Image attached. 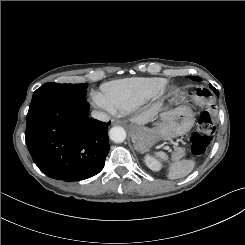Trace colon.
Returning a JSON list of instances; mask_svg holds the SVG:
<instances>
[{"label":"colon","instance_id":"1","mask_svg":"<svg viewBox=\"0 0 245 245\" xmlns=\"http://www.w3.org/2000/svg\"><path fill=\"white\" fill-rule=\"evenodd\" d=\"M214 129L210 113L203 111L199 116L197 129L191 137V152L194 155L201 156L206 152Z\"/></svg>","mask_w":245,"mask_h":245}]
</instances>
